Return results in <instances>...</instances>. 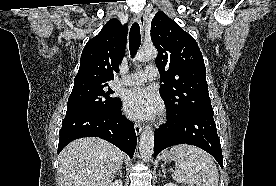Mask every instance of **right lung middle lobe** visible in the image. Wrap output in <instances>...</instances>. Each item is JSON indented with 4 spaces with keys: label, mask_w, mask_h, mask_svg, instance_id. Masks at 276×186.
I'll use <instances>...</instances> for the list:
<instances>
[{
    "label": "right lung middle lobe",
    "mask_w": 276,
    "mask_h": 186,
    "mask_svg": "<svg viewBox=\"0 0 276 186\" xmlns=\"http://www.w3.org/2000/svg\"><path fill=\"white\" fill-rule=\"evenodd\" d=\"M108 85H89L74 87L68 99L66 115L83 111L108 112L120 102L119 98L111 97L114 93Z\"/></svg>",
    "instance_id": "obj_1"
}]
</instances>
